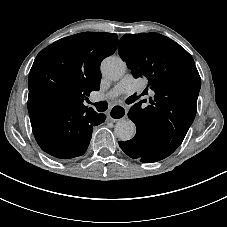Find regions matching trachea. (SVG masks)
I'll return each mask as SVG.
<instances>
[{
	"label": "trachea",
	"mask_w": 227,
	"mask_h": 227,
	"mask_svg": "<svg viewBox=\"0 0 227 227\" xmlns=\"http://www.w3.org/2000/svg\"><path fill=\"white\" fill-rule=\"evenodd\" d=\"M137 99H138V97L136 96V94H133L132 96H130L126 99V103L131 104ZM92 104L96 107L97 111H99V112H104L108 108V103L106 101H99V102H95Z\"/></svg>",
	"instance_id": "3493384b"
}]
</instances>
